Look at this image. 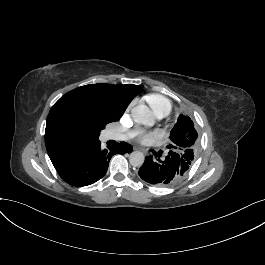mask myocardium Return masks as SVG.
<instances>
[{
	"label": "myocardium",
	"instance_id": "f54148a6",
	"mask_svg": "<svg viewBox=\"0 0 265 265\" xmlns=\"http://www.w3.org/2000/svg\"><path fill=\"white\" fill-rule=\"evenodd\" d=\"M151 109V108H150ZM153 111H154V109H152ZM161 118H163V117H159V116H157V119H161Z\"/></svg>",
	"mask_w": 265,
	"mask_h": 265
}]
</instances>
